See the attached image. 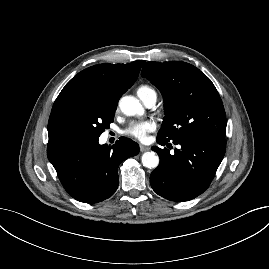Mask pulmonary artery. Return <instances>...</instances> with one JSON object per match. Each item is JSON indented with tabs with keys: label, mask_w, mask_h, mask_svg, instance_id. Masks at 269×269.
<instances>
[{
	"label": "pulmonary artery",
	"mask_w": 269,
	"mask_h": 269,
	"mask_svg": "<svg viewBox=\"0 0 269 269\" xmlns=\"http://www.w3.org/2000/svg\"><path fill=\"white\" fill-rule=\"evenodd\" d=\"M157 96L151 95L146 100H144V103L147 107H152L156 103Z\"/></svg>",
	"instance_id": "e3ab8cb5"
}]
</instances>
